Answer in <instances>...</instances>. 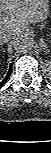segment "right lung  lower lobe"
I'll use <instances>...</instances> for the list:
<instances>
[{
    "mask_svg": "<svg viewBox=\"0 0 51 153\" xmlns=\"http://www.w3.org/2000/svg\"><path fill=\"white\" fill-rule=\"evenodd\" d=\"M11 71H12V65L10 66V69L8 71L7 76L0 82V87H2L5 84V82L8 80V78H9V76L11 74Z\"/></svg>",
    "mask_w": 51,
    "mask_h": 153,
    "instance_id": "98d812e1",
    "label": "right lung lower lobe"
}]
</instances>
